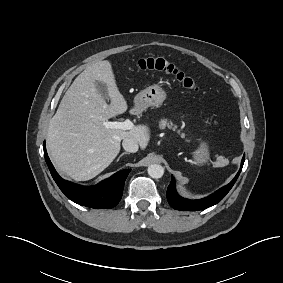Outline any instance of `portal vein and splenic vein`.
<instances>
[{
  "mask_svg": "<svg viewBox=\"0 0 283 283\" xmlns=\"http://www.w3.org/2000/svg\"><path fill=\"white\" fill-rule=\"evenodd\" d=\"M105 128L111 129H121V130H132L134 129L135 125L132 123L131 120L126 119L124 122H103Z\"/></svg>",
  "mask_w": 283,
  "mask_h": 283,
  "instance_id": "1",
  "label": "portal vein and splenic vein"
}]
</instances>
